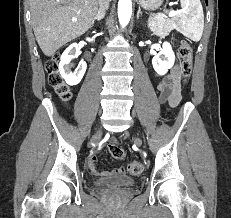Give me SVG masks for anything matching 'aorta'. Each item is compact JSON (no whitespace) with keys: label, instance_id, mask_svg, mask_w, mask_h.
Segmentation results:
<instances>
[{"label":"aorta","instance_id":"762f6f07","mask_svg":"<svg viewBox=\"0 0 231 218\" xmlns=\"http://www.w3.org/2000/svg\"><path fill=\"white\" fill-rule=\"evenodd\" d=\"M132 14V1L131 0H119L118 2V18L121 26H126L131 18Z\"/></svg>","mask_w":231,"mask_h":218}]
</instances>
